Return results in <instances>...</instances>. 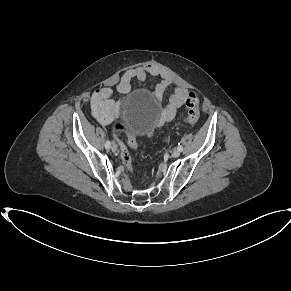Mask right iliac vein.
Segmentation results:
<instances>
[{
    "label": "right iliac vein",
    "instance_id": "right-iliac-vein-1",
    "mask_svg": "<svg viewBox=\"0 0 291 291\" xmlns=\"http://www.w3.org/2000/svg\"><path fill=\"white\" fill-rule=\"evenodd\" d=\"M111 149H112L113 151H116V150H117V145H116L115 142H113V143L111 144Z\"/></svg>",
    "mask_w": 291,
    "mask_h": 291
}]
</instances>
